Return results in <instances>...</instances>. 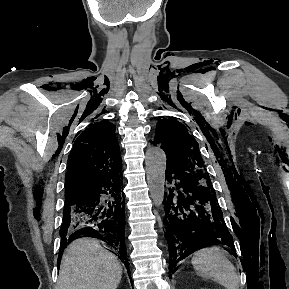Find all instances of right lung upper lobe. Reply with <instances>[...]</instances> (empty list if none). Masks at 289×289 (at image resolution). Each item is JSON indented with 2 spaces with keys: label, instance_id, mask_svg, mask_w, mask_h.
I'll return each mask as SVG.
<instances>
[{
  "label": "right lung upper lobe",
  "instance_id": "1",
  "mask_svg": "<svg viewBox=\"0 0 289 289\" xmlns=\"http://www.w3.org/2000/svg\"><path fill=\"white\" fill-rule=\"evenodd\" d=\"M82 132L68 157L66 195L82 193L105 178L121 175V155L115 126L103 120Z\"/></svg>",
  "mask_w": 289,
  "mask_h": 289
}]
</instances>
